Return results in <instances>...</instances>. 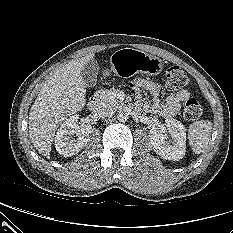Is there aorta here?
Listing matches in <instances>:
<instances>
[{
    "instance_id": "1",
    "label": "aorta",
    "mask_w": 233,
    "mask_h": 233,
    "mask_svg": "<svg viewBox=\"0 0 233 233\" xmlns=\"http://www.w3.org/2000/svg\"><path fill=\"white\" fill-rule=\"evenodd\" d=\"M117 119L120 122H126L129 119V113L126 110H120L117 113Z\"/></svg>"
}]
</instances>
